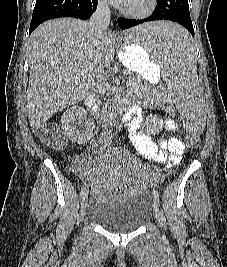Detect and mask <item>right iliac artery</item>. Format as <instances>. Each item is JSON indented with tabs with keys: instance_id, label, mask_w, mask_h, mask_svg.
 <instances>
[{
	"instance_id": "right-iliac-artery-1",
	"label": "right iliac artery",
	"mask_w": 227,
	"mask_h": 267,
	"mask_svg": "<svg viewBox=\"0 0 227 267\" xmlns=\"http://www.w3.org/2000/svg\"><path fill=\"white\" fill-rule=\"evenodd\" d=\"M84 196H86V188L83 187V189L81 190V198H84Z\"/></svg>"
}]
</instances>
